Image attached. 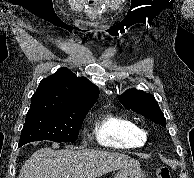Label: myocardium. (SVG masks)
<instances>
[{"mask_svg":"<svg viewBox=\"0 0 194 178\" xmlns=\"http://www.w3.org/2000/svg\"><path fill=\"white\" fill-rule=\"evenodd\" d=\"M140 132H141V135H142V137L145 139V138H147V136H148V131L147 130H145V129H140Z\"/></svg>","mask_w":194,"mask_h":178,"instance_id":"1","label":"myocardium"}]
</instances>
